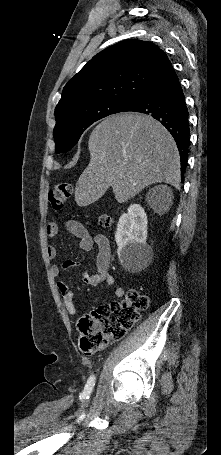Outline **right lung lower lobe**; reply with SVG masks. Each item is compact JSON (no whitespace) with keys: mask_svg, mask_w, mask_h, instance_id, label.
<instances>
[{"mask_svg":"<svg viewBox=\"0 0 221 455\" xmlns=\"http://www.w3.org/2000/svg\"><path fill=\"white\" fill-rule=\"evenodd\" d=\"M124 111L149 114L171 133L179 150L183 181L190 144L189 114L181 85L169 59Z\"/></svg>","mask_w":221,"mask_h":455,"instance_id":"1","label":"right lung lower lobe"}]
</instances>
